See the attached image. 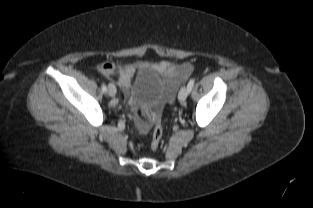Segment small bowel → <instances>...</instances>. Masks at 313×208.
<instances>
[{
    "label": "small bowel",
    "mask_w": 313,
    "mask_h": 208,
    "mask_svg": "<svg viewBox=\"0 0 313 208\" xmlns=\"http://www.w3.org/2000/svg\"><path fill=\"white\" fill-rule=\"evenodd\" d=\"M139 68H151L156 72L164 74L174 87L186 79L193 70L192 65L189 63L176 65L172 62L161 61L158 63H130L124 66H117L111 61H106L100 65L99 72L106 77H115L122 88H127Z\"/></svg>",
    "instance_id": "small-bowel-1"
}]
</instances>
